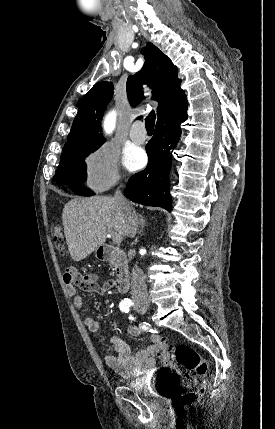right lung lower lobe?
Returning <instances> with one entry per match:
<instances>
[{"label": "right lung lower lobe", "mask_w": 275, "mask_h": 429, "mask_svg": "<svg viewBox=\"0 0 275 429\" xmlns=\"http://www.w3.org/2000/svg\"><path fill=\"white\" fill-rule=\"evenodd\" d=\"M187 119L183 113L166 122L156 124L153 138L146 146L148 165L128 180L125 196L133 202L172 210L168 174L172 150L181 136L180 124Z\"/></svg>", "instance_id": "1"}]
</instances>
